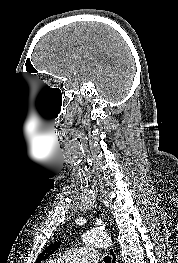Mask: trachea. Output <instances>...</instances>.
Here are the masks:
<instances>
[{
  "label": "trachea",
  "instance_id": "1",
  "mask_svg": "<svg viewBox=\"0 0 178 263\" xmlns=\"http://www.w3.org/2000/svg\"><path fill=\"white\" fill-rule=\"evenodd\" d=\"M104 262H105V263H111V257L105 256V257H104Z\"/></svg>",
  "mask_w": 178,
  "mask_h": 263
}]
</instances>
